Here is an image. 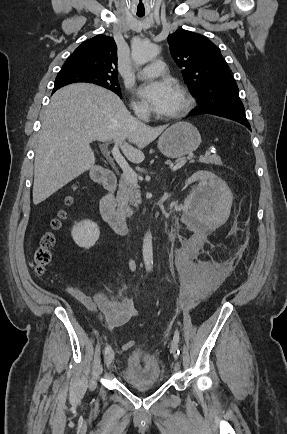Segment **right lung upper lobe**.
<instances>
[{
    "label": "right lung upper lobe",
    "mask_w": 287,
    "mask_h": 434,
    "mask_svg": "<svg viewBox=\"0 0 287 434\" xmlns=\"http://www.w3.org/2000/svg\"><path fill=\"white\" fill-rule=\"evenodd\" d=\"M62 68L117 76V46L112 37L97 35L75 49ZM60 86H54L53 93Z\"/></svg>",
    "instance_id": "right-lung-upper-lobe-1"
}]
</instances>
